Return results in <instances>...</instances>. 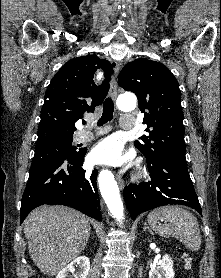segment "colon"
Returning a JSON list of instances; mask_svg holds the SVG:
<instances>
[{"mask_svg":"<svg viewBox=\"0 0 221 278\" xmlns=\"http://www.w3.org/2000/svg\"><path fill=\"white\" fill-rule=\"evenodd\" d=\"M179 256L184 263L186 269L190 270L192 267V259L182 249H178Z\"/></svg>","mask_w":221,"mask_h":278,"instance_id":"5ec220e1","label":"colon"}]
</instances>
